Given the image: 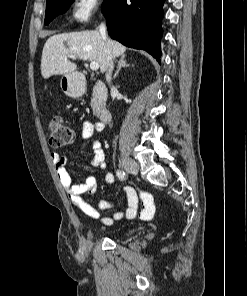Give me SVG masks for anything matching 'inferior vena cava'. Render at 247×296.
<instances>
[{"instance_id": "602c4592", "label": "inferior vena cava", "mask_w": 247, "mask_h": 296, "mask_svg": "<svg viewBox=\"0 0 247 296\" xmlns=\"http://www.w3.org/2000/svg\"><path fill=\"white\" fill-rule=\"evenodd\" d=\"M99 31H100V33H101V35L103 37H106V25L105 24L102 23L100 25ZM113 67H114V64H113V61L111 60L110 63H109V67H108L107 73H106V80L108 81V83L111 82V76H112Z\"/></svg>"}]
</instances>
